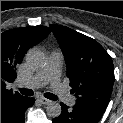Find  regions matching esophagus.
Here are the masks:
<instances>
[{"instance_id":"esophagus-1","label":"esophagus","mask_w":123,"mask_h":123,"mask_svg":"<svg viewBox=\"0 0 123 123\" xmlns=\"http://www.w3.org/2000/svg\"><path fill=\"white\" fill-rule=\"evenodd\" d=\"M38 100H39L42 104H45V105H47V104H49V103L51 102L49 99H46V98H44V97H40Z\"/></svg>"}]
</instances>
